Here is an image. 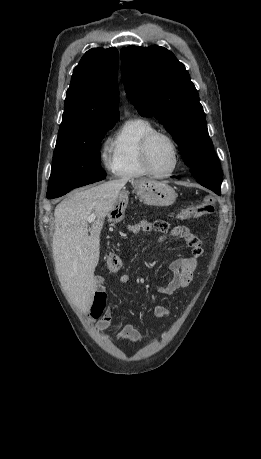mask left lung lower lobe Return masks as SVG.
Returning <instances> with one entry per match:
<instances>
[{
    "instance_id": "0a47b994",
    "label": "left lung lower lobe",
    "mask_w": 261,
    "mask_h": 459,
    "mask_svg": "<svg viewBox=\"0 0 261 459\" xmlns=\"http://www.w3.org/2000/svg\"><path fill=\"white\" fill-rule=\"evenodd\" d=\"M198 183H200L202 186L211 189L213 192H215L218 195H221L220 192V187L222 181L218 180H197Z\"/></svg>"
}]
</instances>
